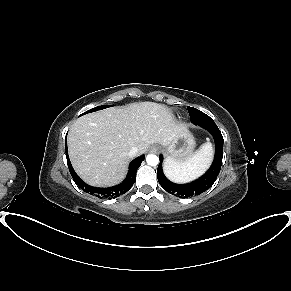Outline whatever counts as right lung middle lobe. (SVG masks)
<instances>
[{
	"label": "right lung middle lobe",
	"instance_id": "1",
	"mask_svg": "<svg viewBox=\"0 0 291 291\" xmlns=\"http://www.w3.org/2000/svg\"><path fill=\"white\" fill-rule=\"evenodd\" d=\"M108 107H110V105H101V106H97V107H95V108H93V109H90V110H88V111L82 113L80 116H82V115H84V114H87V113H90V112H94V111H98V110H101V109H105V108H108Z\"/></svg>",
	"mask_w": 291,
	"mask_h": 291
}]
</instances>
